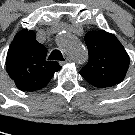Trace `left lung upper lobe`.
Wrapping results in <instances>:
<instances>
[{
  "instance_id": "obj_1",
  "label": "left lung upper lobe",
  "mask_w": 135,
  "mask_h": 135,
  "mask_svg": "<svg viewBox=\"0 0 135 135\" xmlns=\"http://www.w3.org/2000/svg\"><path fill=\"white\" fill-rule=\"evenodd\" d=\"M85 43L89 60L79 71L81 76L98 88L111 87L123 81L130 59L119 40L103 30L89 31Z\"/></svg>"
}]
</instances>
